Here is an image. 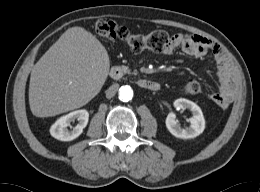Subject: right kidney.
<instances>
[{
	"mask_svg": "<svg viewBox=\"0 0 260 192\" xmlns=\"http://www.w3.org/2000/svg\"><path fill=\"white\" fill-rule=\"evenodd\" d=\"M75 120L78 121V124L73 128V130H68L67 127ZM88 120L89 113L85 109L70 112L69 114L60 117L51 126L50 134L61 141H72L83 132V129L87 126Z\"/></svg>",
	"mask_w": 260,
	"mask_h": 192,
	"instance_id": "right-kidney-1",
	"label": "right kidney"
}]
</instances>
